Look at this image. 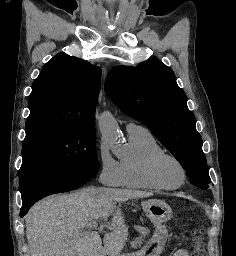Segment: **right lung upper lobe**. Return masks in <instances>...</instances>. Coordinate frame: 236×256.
<instances>
[{"label":"right lung upper lobe","instance_id":"right-lung-upper-lobe-1","mask_svg":"<svg viewBox=\"0 0 236 256\" xmlns=\"http://www.w3.org/2000/svg\"><path fill=\"white\" fill-rule=\"evenodd\" d=\"M100 84L99 67L65 53L54 56L33 82L26 122L94 125Z\"/></svg>","mask_w":236,"mask_h":256}]
</instances>
